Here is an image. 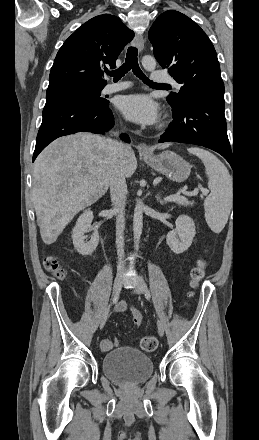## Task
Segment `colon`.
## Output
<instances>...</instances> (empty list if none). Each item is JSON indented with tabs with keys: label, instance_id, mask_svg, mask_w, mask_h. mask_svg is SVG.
<instances>
[{
	"label": "colon",
	"instance_id": "obj_1",
	"mask_svg": "<svg viewBox=\"0 0 259 440\" xmlns=\"http://www.w3.org/2000/svg\"><path fill=\"white\" fill-rule=\"evenodd\" d=\"M44 266L47 271L54 274L59 279H63L66 276V271L60 266L58 260L54 256H48L44 259ZM206 263L204 260H199L197 265L191 272V287L195 289L199 282L202 280L205 272ZM140 347L147 352H152L158 347V341L153 336H144L139 340Z\"/></svg>",
	"mask_w": 259,
	"mask_h": 440
}]
</instances>
